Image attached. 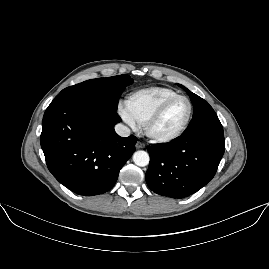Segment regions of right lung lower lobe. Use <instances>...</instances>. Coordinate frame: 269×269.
Segmentation results:
<instances>
[{"mask_svg": "<svg viewBox=\"0 0 269 269\" xmlns=\"http://www.w3.org/2000/svg\"><path fill=\"white\" fill-rule=\"evenodd\" d=\"M117 109L72 96H56L45 111L40 143L53 176L73 192L109 191L135 151L137 138L114 130Z\"/></svg>", "mask_w": 269, "mask_h": 269, "instance_id": "obj_1", "label": "right lung lower lobe"}]
</instances>
